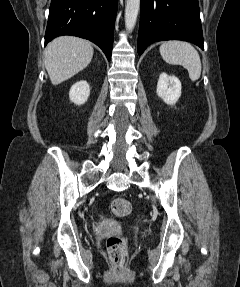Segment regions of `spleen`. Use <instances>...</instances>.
<instances>
[{
  "mask_svg": "<svg viewBox=\"0 0 240 287\" xmlns=\"http://www.w3.org/2000/svg\"><path fill=\"white\" fill-rule=\"evenodd\" d=\"M162 58L169 64L182 65L189 77L196 81L201 75V60L197 50L188 42L171 40L163 42L159 48Z\"/></svg>",
  "mask_w": 240,
  "mask_h": 287,
  "instance_id": "1",
  "label": "spleen"
}]
</instances>
